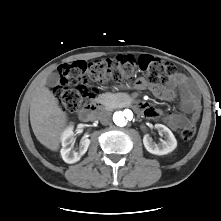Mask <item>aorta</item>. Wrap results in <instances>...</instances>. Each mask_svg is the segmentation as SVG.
Returning a JSON list of instances; mask_svg holds the SVG:
<instances>
[{
    "instance_id": "1",
    "label": "aorta",
    "mask_w": 221,
    "mask_h": 221,
    "mask_svg": "<svg viewBox=\"0 0 221 221\" xmlns=\"http://www.w3.org/2000/svg\"><path fill=\"white\" fill-rule=\"evenodd\" d=\"M133 119V112L130 109L118 111L113 115V121L117 126H125L128 121Z\"/></svg>"
}]
</instances>
